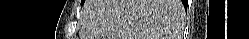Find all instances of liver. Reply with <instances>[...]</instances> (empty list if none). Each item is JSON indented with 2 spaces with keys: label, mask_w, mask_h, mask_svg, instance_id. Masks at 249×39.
Here are the masks:
<instances>
[{
  "label": "liver",
  "mask_w": 249,
  "mask_h": 39,
  "mask_svg": "<svg viewBox=\"0 0 249 39\" xmlns=\"http://www.w3.org/2000/svg\"><path fill=\"white\" fill-rule=\"evenodd\" d=\"M174 0H89L81 39H171Z\"/></svg>",
  "instance_id": "liver-1"
}]
</instances>
